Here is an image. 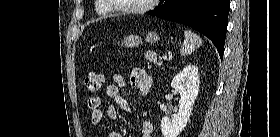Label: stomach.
Listing matches in <instances>:
<instances>
[{
  "mask_svg": "<svg viewBox=\"0 0 280 137\" xmlns=\"http://www.w3.org/2000/svg\"><path fill=\"white\" fill-rule=\"evenodd\" d=\"M159 40V36L155 32H148L145 37V41L148 43H156ZM142 43L141 37L137 35H129L122 41V45L128 48L137 47Z\"/></svg>",
  "mask_w": 280,
  "mask_h": 137,
  "instance_id": "obj_1",
  "label": "stomach"
}]
</instances>
